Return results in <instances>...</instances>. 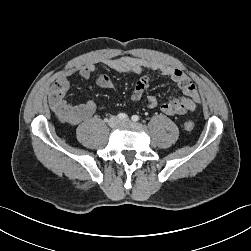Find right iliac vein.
I'll return each mask as SVG.
<instances>
[{
  "label": "right iliac vein",
  "mask_w": 251,
  "mask_h": 251,
  "mask_svg": "<svg viewBox=\"0 0 251 251\" xmlns=\"http://www.w3.org/2000/svg\"><path fill=\"white\" fill-rule=\"evenodd\" d=\"M120 123V120L113 116L111 117L109 120H108V125L111 127V128H114L116 127L118 124Z\"/></svg>",
  "instance_id": "obj_1"
}]
</instances>
